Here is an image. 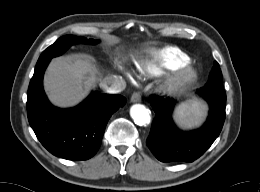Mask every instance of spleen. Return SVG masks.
Instances as JSON below:
<instances>
[{"mask_svg":"<svg viewBox=\"0 0 260 192\" xmlns=\"http://www.w3.org/2000/svg\"><path fill=\"white\" fill-rule=\"evenodd\" d=\"M206 105L200 100H193L178 105L173 118L183 128H193L202 123L206 116Z\"/></svg>","mask_w":260,"mask_h":192,"instance_id":"obj_1","label":"spleen"}]
</instances>
